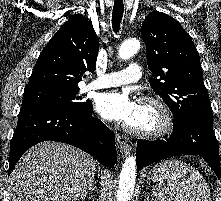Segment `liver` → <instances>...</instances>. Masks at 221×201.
I'll list each match as a JSON object with an SVG mask.
<instances>
[{"label": "liver", "instance_id": "6515ba94", "mask_svg": "<svg viewBox=\"0 0 221 201\" xmlns=\"http://www.w3.org/2000/svg\"><path fill=\"white\" fill-rule=\"evenodd\" d=\"M97 161L66 144L45 141L30 148L10 175L13 201H78L89 190Z\"/></svg>", "mask_w": 221, "mask_h": 201}]
</instances>
